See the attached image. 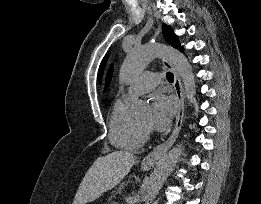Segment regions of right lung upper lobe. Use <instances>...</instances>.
<instances>
[{"label": "right lung upper lobe", "instance_id": "right-lung-upper-lobe-1", "mask_svg": "<svg viewBox=\"0 0 261 204\" xmlns=\"http://www.w3.org/2000/svg\"><path fill=\"white\" fill-rule=\"evenodd\" d=\"M112 74H113V66H111V68H110V70H109V72L107 74L105 89H107L109 87V85H110Z\"/></svg>", "mask_w": 261, "mask_h": 204}]
</instances>
